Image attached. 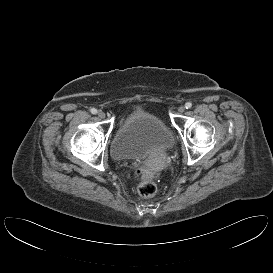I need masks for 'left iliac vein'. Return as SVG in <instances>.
I'll return each mask as SVG.
<instances>
[{"instance_id":"left-iliac-vein-1","label":"left iliac vein","mask_w":273,"mask_h":273,"mask_svg":"<svg viewBox=\"0 0 273 273\" xmlns=\"http://www.w3.org/2000/svg\"><path fill=\"white\" fill-rule=\"evenodd\" d=\"M185 111V107L184 106H180L179 108H178V112L179 113H183Z\"/></svg>"}]
</instances>
